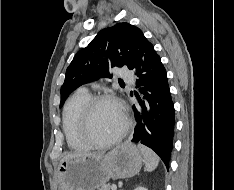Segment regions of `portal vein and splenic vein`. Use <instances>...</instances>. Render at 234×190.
I'll return each instance as SVG.
<instances>
[{"mask_svg": "<svg viewBox=\"0 0 234 190\" xmlns=\"http://www.w3.org/2000/svg\"><path fill=\"white\" fill-rule=\"evenodd\" d=\"M111 190H117V186L116 185H112L111 186Z\"/></svg>", "mask_w": 234, "mask_h": 190, "instance_id": "obj_1", "label": "portal vein and splenic vein"}]
</instances>
